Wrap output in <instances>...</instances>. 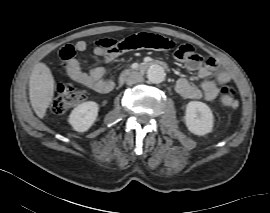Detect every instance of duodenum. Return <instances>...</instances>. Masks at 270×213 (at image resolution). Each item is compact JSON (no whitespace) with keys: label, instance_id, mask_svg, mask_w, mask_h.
I'll return each mask as SVG.
<instances>
[{"label":"duodenum","instance_id":"duodenum-1","mask_svg":"<svg viewBox=\"0 0 270 213\" xmlns=\"http://www.w3.org/2000/svg\"><path fill=\"white\" fill-rule=\"evenodd\" d=\"M155 65L163 67V64L160 62L155 63ZM149 68V64L148 63H144L141 64L138 68H136L135 73L136 74H142L144 73L147 69ZM126 76V73H124V75H122V79Z\"/></svg>","mask_w":270,"mask_h":213}]
</instances>
